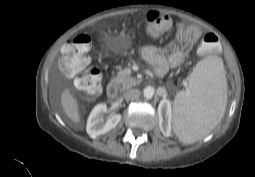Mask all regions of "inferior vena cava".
I'll list each match as a JSON object with an SVG mask.
<instances>
[{
    "label": "inferior vena cava",
    "instance_id": "inferior-vena-cava-1",
    "mask_svg": "<svg viewBox=\"0 0 255 177\" xmlns=\"http://www.w3.org/2000/svg\"><path fill=\"white\" fill-rule=\"evenodd\" d=\"M141 92L138 89H129L124 93V98L126 100H135L139 98Z\"/></svg>",
    "mask_w": 255,
    "mask_h": 177
}]
</instances>
